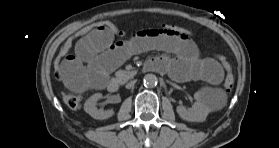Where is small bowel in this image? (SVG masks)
<instances>
[{
	"instance_id": "1",
	"label": "small bowel",
	"mask_w": 279,
	"mask_h": 148,
	"mask_svg": "<svg viewBox=\"0 0 279 148\" xmlns=\"http://www.w3.org/2000/svg\"><path fill=\"white\" fill-rule=\"evenodd\" d=\"M149 50L162 52L148 62L149 68L166 72L177 81L203 80L217 85L223 79L221 65L201 57L192 40L158 29L141 30L130 39L119 41L109 31L93 30L82 36L75 45V53L62 61L60 78L76 92L102 88L111 71L130 57Z\"/></svg>"
}]
</instances>
